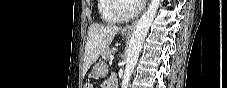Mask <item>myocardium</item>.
Instances as JSON below:
<instances>
[{
	"mask_svg": "<svg viewBox=\"0 0 227 88\" xmlns=\"http://www.w3.org/2000/svg\"><path fill=\"white\" fill-rule=\"evenodd\" d=\"M124 1H131V0H111L110 6H109V9L112 15L120 21H125L128 19L134 18L141 12V7L135 6V9L131 13H128V14L123 13L120 9V3Z\"/></svg>",
	"mask_w": 227,
	"mask_h": 88,
	"instance_id": "myocardium-1",
	"label": "myocardium"
}]
</instances>
